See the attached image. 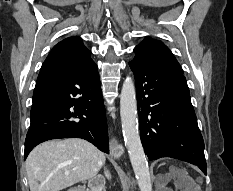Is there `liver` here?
Here are the masks:
<instances>
[{
    "label": "liver",
    "instance_id": "obj_1",
    "mask_svg": "<svg viewBox=\"0 0 233 191\" xmlns=\"http://www.w3.org/2000/svg\"><path fill=\"white\" fill-rule=\"evenodd\" d=\"M104 162L105 155L86 140L68 138L44 142L26 160L30 191L63 190L95 177Z\"/></svg>",
    "mask_w": 233,
    "mask_h": 191
}]
</instances>
